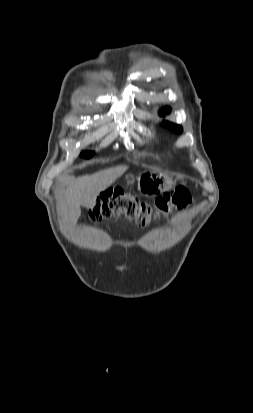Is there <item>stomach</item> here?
Segmentation results:
<instances>
[{
    "label": "stomach",
    "instance_id": "1",
    "mask_svg": "<svg viewBox=\"0 0 253 413\" xmlns=\"http://www.w3.org/2000/svg\"><path fill=\"white\" fill-rule=\"evenodd\" d=\"M137 181L138 191L147 197L161 194L173 186V181L168 176L156 172H143Z\"/></svg>",
    "mask_w": 253,
    "mask_h": 413
}]
</instances>
